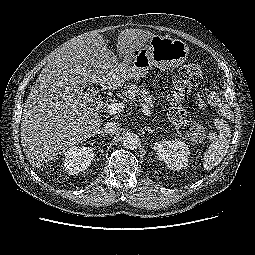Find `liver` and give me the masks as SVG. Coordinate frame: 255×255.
I'll return each mask as SVG.
<instances>
[{"label":"liver","instance_id":"1","mask_svg":"<svg viewBox=\"0 0 255 255\" xmlns=\"http://www.w3.org/2000/svg\"><path fill=\"white\" fill-rule=\"evenodd\" d=\"M152 36L143 29L121 31L117 51L122 62L102 34L72 38L54 53L32 86L21 119V143L32 166H43L99 131L102 118L79 89V79L110 85L129 64L130 53Z\"/></svg>","mask_w":255,"mask_h":255}]
</instances>
